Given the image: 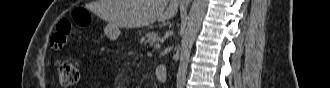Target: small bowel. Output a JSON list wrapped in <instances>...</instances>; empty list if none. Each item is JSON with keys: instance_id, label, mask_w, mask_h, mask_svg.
<instances>
[{"instance_id": "obj_1", "label": "small bowel", "mask_w": 330, "mask_h": 88, "mask_svg": "<svg viewBox=\"0 0 330 88\" xmlns=\"http://www.w3.org/2000/svg\"><path fill=\"white\" fill-rule=\"evenodd\" d=\"M155 76H156V68H155ZM118 81L120 82L121 81V78L119 77L118 78ZM120 87V86H119Z\"/></svg>"}]
</instances>
